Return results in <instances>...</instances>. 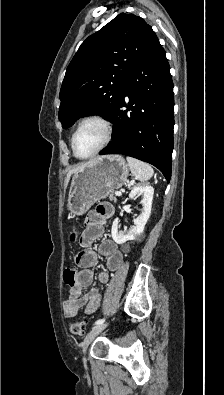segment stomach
Instances as JSON below:
<instances>
[{
    "label": "stomach",
    "mask_w": 224,
    "mask_h": 395,
    "mask_svg": "<svg viewBox=\"0 0 224 395\" xmlns=\"http://www.w3.org/2000/svg\"><path fill=\"white\" fill-rule=\"evenodd\" d=\"M128 164L120 155L98 157L90 165L73 173L67 208L74 216L85 214L98 200L124 185Z\"/></svg>",
    "instance_id": "1"
}]
</instances>
